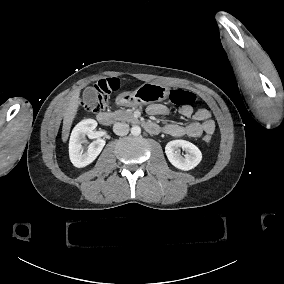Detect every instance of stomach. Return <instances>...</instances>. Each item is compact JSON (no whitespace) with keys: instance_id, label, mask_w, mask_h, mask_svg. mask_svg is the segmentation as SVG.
I'll return each mask as SVG.
<instances>
[{"instance_id":"0dacf381","label":"stomach","mask_w":284,"mask_h":284,"mask_svg":"<svg viewBox=\"0 0 284 284\" xmlns=\"http://www.w3.org/2000/svg\"><path fill=\"white\" fill-rule=\"evenodd\" d=\"M169 88L162 84L146 82L133 92H123L116 98L120 106L133 107L141 104L161 102L167 98Z\"/></svg>"}]
</instances>
